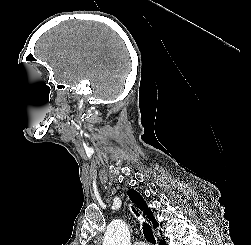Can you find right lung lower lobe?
<instances>
[{"label": "right lung lower lobe", "instance_id": "1", "mask_svg": "<svg viewBox=\"0 0 251 245\" xmlns=\"http://www.w3.org/2000/svg\"><path fill=\"white\" fill-rule=\"evenodd\" d=\"M160 245H166L164 239H163V240H160Z\"/></svg>", "mask_w": 251, "mask_h": 245}]
</instances>
